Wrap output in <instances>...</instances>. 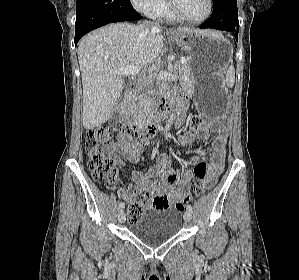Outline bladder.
Instances as JSON below:
<instances>
[{"label": "bladder", "mask_w": 299, "mask_h": 280, "mask_svg": "<svg viewBox=\"0 0 299 280\" xmlns=\"http://www.w3.org/2000/svg\"><path fill=\"white\" fill-rule=\"evenodd\" d=\"M182 226V214L173 208H151L131 224L130 232L148 245L161 244L177 235Z\"/></svg>", "instance_id": "31cf9c89"}]
</instances>
